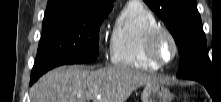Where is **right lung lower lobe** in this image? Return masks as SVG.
<instances>
[{"instance_id":"right-lung-lower-lobe-1","label":"right lung lower lobe","mask_w":221,"mask_h":102,"mask_svg":"<svg viewBox=\"0 0 221 102\" xmlns=\"http://www.w3.org/2000/svg\"><path fill=\"white\" fill-rule=\"evenodd\" d=\"M37 79L38 77H31L30 85H32Z\"/></svg>"}]
</instances>
